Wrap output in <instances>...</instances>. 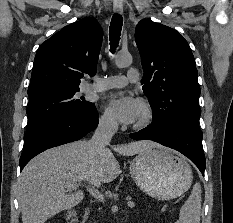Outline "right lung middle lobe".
<instances>
[{
  "label": "right lung middle lobe",
  "mask_w": 233,
  "mask_h": 223,
  "mask_svg": "<svg viewBox=\"0 0 233 223\" xmlns=\"http://www.w3.org/2000/svg\"><path fill=\"white\" fill-rule=\"evenodd\" d=\"M79 87H56L29 94L26 133L94 105L77 95Z\"/></svg>",
  "instance_id": "dd1d6c3e"
}]
</instances>
